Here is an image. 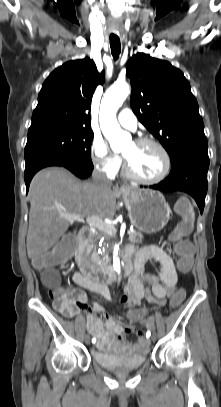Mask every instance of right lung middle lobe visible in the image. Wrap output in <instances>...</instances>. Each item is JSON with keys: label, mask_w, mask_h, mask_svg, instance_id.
<instances>
[{"label": "right lung middle lobe", "mask_w": 221, "mask_h": 407, "mask_svg": "<svg viewBox=\"0 0 221 407\" xmlns=\"http://www.w3.org/2000/svg\"><path fill=\"white\" fill-rule=\"evenodd\" d=\"M91 129L71 126H45L29 129L25 147V161L44 153L60 155L72 163L93 169L90 148Z\"/></svg>", "instance_id": "obj_1"}]
</instances>
